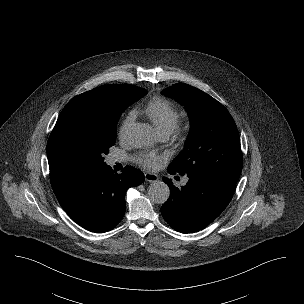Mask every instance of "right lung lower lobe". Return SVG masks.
<instances>
[{"label":"right lung lower lobe","instance_id":"obj_1","mask_svg":"<svg viewBox=\"0 0 304 304\" xmlns=\"http://www.w3.org/2000/svg\"><path fill=\"white\" fill-rule=\"evenodd\" d=\"M144 179L142 171L131 166L117 174L105 164L89 170L56 197L77 224L89 231L104 233L123 218L128 188L140 185Z\"/></svg>","mask_w":304,"mask_h":304}]
</instances>
